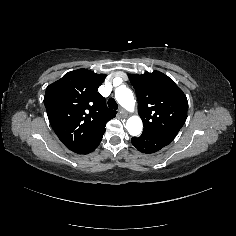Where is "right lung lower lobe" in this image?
<instances>
[{
  "label": "right lung lower lobe",
  "mask_w": 236,
  "mask_h": 236,
  "mask_svg": "<svg viewBox=\"0 0 236 236\" xmlns=\"http://www.w3.org/2000/svg\"><path fill=\"white\" fill-rule=\"evenodd\" d=\"M103 134L100 135L95 140H93L92 142H89L87 144L79 146V147H77V148H75L71 151H73L75 153H78V154H88V153L94 151L98 147V145L100 144V141L102 140Z\"/></svg>",
  "instance_id": "obj_1"
}]
</instances>
